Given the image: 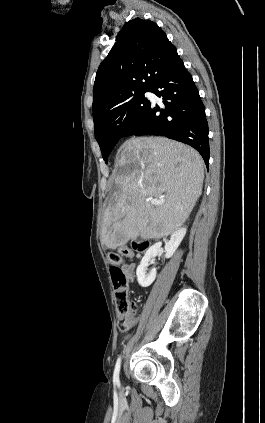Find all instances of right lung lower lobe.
Listing matches in <instances>:
<instances>
[{
    "label": "right lung lower lobe",
    "instance_id": "1",
    "mask_svg": "<svg viewBox=\"0 0 265 423\" xmlns=\"http://www.w3.org/2000/svg\"><path fill=\"white\" fill-rule=\"evenodd\" d=\"M149 91L163 98L164 108L151 104L123 137L166 136L195 148L208 166L210 151L205 108L178 54L157 76Z\"/></svg>",
    "mask_w": 265,
    "mask_h": 423
}]
</instances>
